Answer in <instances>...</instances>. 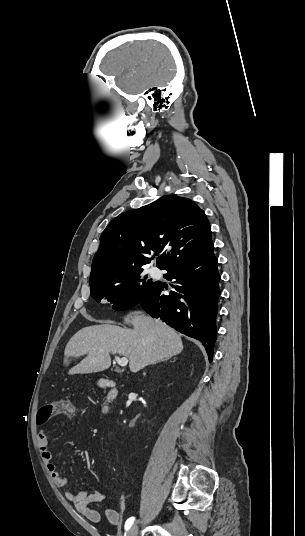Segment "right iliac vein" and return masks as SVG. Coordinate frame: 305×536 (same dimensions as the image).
I'll return each mask as SVG.
<instances>
[{
    "mask_svg": "<svg viewBox=\"0 0 305 536\" xmlns=\"http://www.w3.org/2000/svg\"><path fill=\"white\" fill-rule=\"evenodd\" d=\"M138 528L137 525H133L127 533V536H137Z\"/></svg>",
    "mask_w": 305,
    "mask_h": 536,
    "instance_id": "right-iliac-vein-1",
    "label": "right iliac vein"
}]
</instances>
